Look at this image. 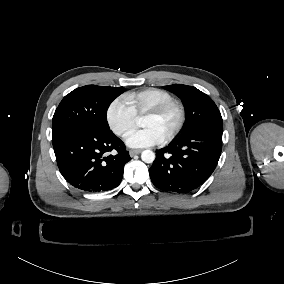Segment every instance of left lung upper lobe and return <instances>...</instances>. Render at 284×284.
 <instances>
[{
	"instance_id": "5c2ea615",
	"label": "left lung upper lobe",
	"mask_w": 284,
	"mask_h": 284,
	"mask_svg": "<svg viewBox=\"0 0 284 284\" xmlns=\"http://www.w3.org/2000/svg\"><path fill=\"white\" fill-rule=\"evenodd\" d=\"M164 89L178 95L186 109V125L182 134L192 130L216 127L222 129V117L212 99L193 86L174 84Z\"/></svg>"
}]
</instances>
